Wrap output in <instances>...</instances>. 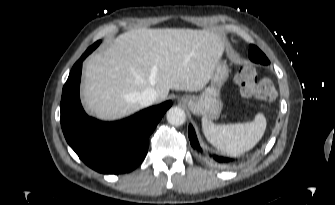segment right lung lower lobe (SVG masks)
Returning a JSON list of instances; mask_svg holds the SVG:
<instances>
[{
  "instance_id": "obj_1",
  "label": "right lung lower lobe",
  "mask_w": 335,
  "mask_h": 205,
  "mask_svg": "<svg viewBox=\"0 0 335 205\" xmlns=\"http://www.w3.org/2000/svg\"><path fill=\"white\" fill-rule=\"evenodd\" d=\"M87 50L74 64L63 87L61 126L66 141L90 168L104 174H120L135 169L148 151L149 136L172 102L147 108L118 122L105 123L88 117L80 98L82 62Z\"/></svg>"
}]
</instances>
